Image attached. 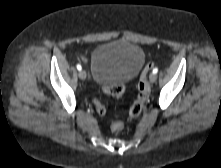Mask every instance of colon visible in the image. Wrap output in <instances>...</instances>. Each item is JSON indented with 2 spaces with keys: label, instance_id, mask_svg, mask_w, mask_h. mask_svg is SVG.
<instances>
[{
  "label": "colon",
  "instance_id": "obj_1",
  "mask_svg": "<svg viewBox=\"0 0 221 168\" xmlns=\"http://www.w3.org/2000/svg\"><path fill=\"white\" fill-rule=\"evenodd\" d=\"M153 67H154L153 63H148L147 66L145 67V70L140 76V79L138 82L137 98L133 102V104L131 105L128 111V117L131 119L136 118L141 114L143 107L148 99L150 88H149V84L147 81V75H148V72ZM124 91H125V87L121 83H114L106 89V93L112 96H115L117 98H120L124 94ZM95 108L100 115H104L106 112L105 106L99 101H95ZM122 128H123L122 123L117 122V121L112 122L110 125V130L113 133L119 132Z\"/></svg>",
  "mask_w": 221,
  "mask_h": 168
}]
</instances>
